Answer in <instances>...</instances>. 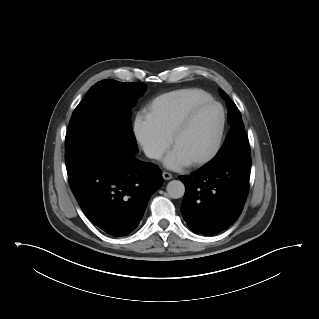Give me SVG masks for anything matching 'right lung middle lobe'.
I'll use <instances>...</instances> for the list:
<instances>
[{
    "instance_id": "1",
    "label": "right lung middle lobe",
    "mask_w": 319,
    "mask_h": 319,
    "mask_svg": "<svg viewBox=\"0 0 319 319\" xmlns=\"http://www.w3.org/2000/svg\"><path fill=\"white\" fill-rule=\"evenodd\" d=\"M147 85L102 80L92 86L75 108L65 138L68 175L77 171L95 150L123 143L137 150L131 112Z\"/></svg>"
}]
</instances>
